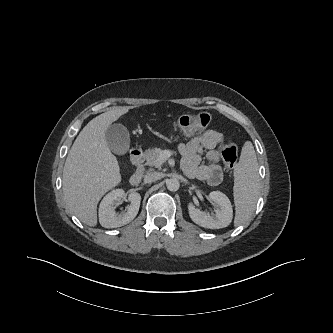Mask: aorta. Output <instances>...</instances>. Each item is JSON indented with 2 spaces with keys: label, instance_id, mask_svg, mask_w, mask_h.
<instances>
[{
  "label": "aorta",
  "instance_id": "762f6f07",
  "mask_svg": "<svg viewBox=\"0 0 333 333\" xmlns=\"http://www.w3.org/2000/svg\"><path fill=\"white\" fill-rule=\"evenodd\" d=\"M166 185H167V189L169 191H172V192H175L179 189V181L177 179H169L167 182H166Z\"/></svg>",
  "mask_w": 333,
  "mask_h": 333
}]
</instances>
